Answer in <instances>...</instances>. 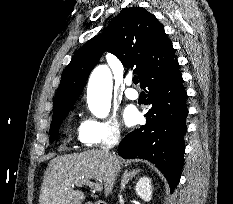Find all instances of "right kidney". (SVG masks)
<instances>
[{
	"mask_svg": "<svg viewBox=\"0 0 233 204\" xmlns=\"http://www.w3.org/2000/svg\"><path fill=\"white\" fill-rule=\"evenodd\" d=\"M135 191L141 199L149 202L152 199L151 179L145 176L141 177L136 184Z\"/></svg>",
	"mask_w": 233,
	"mask_h": 204,
	"instance_id": "ca27d5eb",
	"label": "right kidney"
}]
</instances>
